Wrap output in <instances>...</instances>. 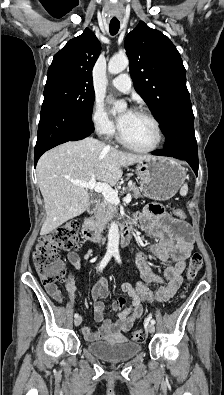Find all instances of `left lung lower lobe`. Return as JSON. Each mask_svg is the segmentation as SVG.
<instances>
[{
  "mask_svg": "<svg viewBox=\"0 0 224 395\" xmlns=\"http://www.w3.org/2000/svg\"><path fill=\"white\" fill-rule=\"evenodd\" d=\"M163 134L166 136V145L163 150L155 151L153 154L186 160L198 175V153L192 109L175 115L171 126Z\"/></svg>",
  "mask_w": 224,
  "mask_h": 395,
  "instance_id": "obj_1",
  "label": "left lung lower lobe"
}]
</instances>
